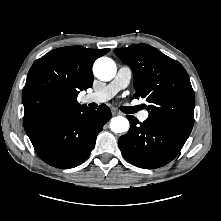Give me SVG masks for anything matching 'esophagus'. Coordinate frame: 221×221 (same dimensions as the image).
Wrapping results in <instances>:
<instances>
[{"label": "esophagus", "mask_w": 221, "mask_h": 221, "mask_svg": "<svg viewBox=\"0 0 221 221\" xmlns=\"http://www.w3.org/2000/svg\"><path fill=\"white\" fill-rule=\"evenodd\" d=\"M112 114L113 115H120L121 113L116 109H112Z\"/></svg>", "instance_id": "esophagus-1"}]
</instances>
